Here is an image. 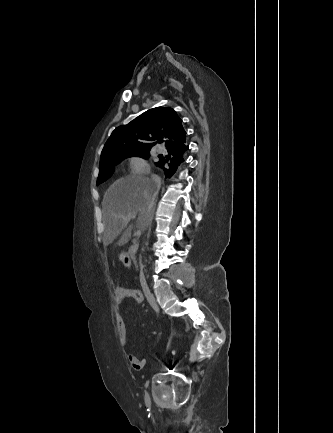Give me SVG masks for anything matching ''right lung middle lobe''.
Instances as JSON below:
<instances>
[{
    "mask_svg": "<svg viewBox=\"0 0 333 433\" xmlns=\"http://www.w3.org/2000/svg\"><path fill=\"white\" fill-rule=\"evenodd\" d=\"M149 152L150 149L134 150L129 152L112 154L111 156L100 160V166H99L100 171L97 179V185L106 181L113 174L115 170V166L125 158L138 156L147 159L150 156Z\"/></svg>",
    "mask_w": 333,
    "mask_h": 433,
    "instance_id": "obj_1",
    "label": "right lung middle lobe"
}]
</instances>
